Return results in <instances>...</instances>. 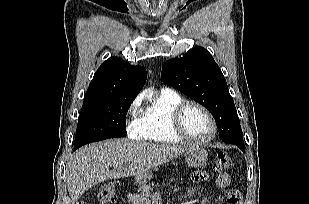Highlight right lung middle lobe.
Listing matches in <instances>:
<instances>
[{"instance_id":"1","label":"right lung middle lobe","mask_w":309,"mask_h":204,"mask_svg":"<svg viewBox=\"0 0 309 204\" xmlns=\"http://www.w3.org/2000/svg\"><path fill=\"white\" fill-rule=\"evenodd\" d=\"M134 98H112L83 104L74 149L108 138L126 136V114Z\"/></svg>"}]
</instances>
